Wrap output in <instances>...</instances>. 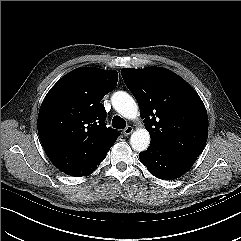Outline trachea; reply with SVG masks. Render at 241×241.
<instances>
[{
  "label": "trachea",
  "instance_id": "3493384b",
  "mask_svg": "<svg viewBox=\"0 0 241 241\" xmlns=\"http://www.w3.org/2000/svg\"><path fill=\"white\" fill-rule=\"evenodd\" d=\"M112 126L117 129H124L126 127V121L120 116H114Z\"/></svg>",
  "mask_w": 241,
  "mask_h": 241
}]
</instances>
